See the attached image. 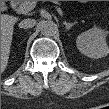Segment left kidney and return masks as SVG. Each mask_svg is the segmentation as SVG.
I'll return each mask as SVG.
<instances>
[{"mask_svg":"<svg viewBox=\"0 0 109 109\" xmlns=\"http://www.w3.org/2000/svg\"><path fill=\"white\" fill-rule=\"evenodd\" d=\"M107 32L93 27L81 33L76 39L78 50L87 57L98 59L108 54Z\"/></svg>","mask_w":109,"mask_h":109,"instance_id":"obj_1","label":"left kidney"}]
</instances>
